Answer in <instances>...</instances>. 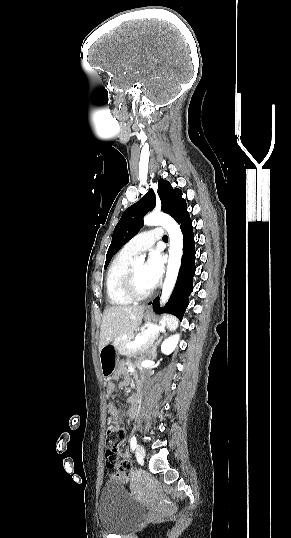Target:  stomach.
<instances>
[{"instance_id":"1","label":"stomach","mask_w":291,"mask_h":538,"mask_svg":"<svg viewBox=\"0 0 291 538\" xmlns=\"http://www.w3.org/2000/svg\"><path fill=\"white\" fill-rule=\"evenodd\" d=\"M145 320L151 322L152 315L145 314ZM101 373L104 379H109L116 371L118 365V352L113 344H108L99 350Z\"/></svg>"}]
</instances>
